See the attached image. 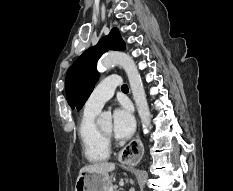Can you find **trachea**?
Wrapping results in <instances>:
<instances>
[{
    "instance_id": "1",
    "label": "trachea",
    "mask_w": 233,
    "mask_h": 191,
    "mask_svg": "<svg viewBox=\"0 0 233 191\" xmlns=\"http://www.w3.org/2000/svg\"><path fill=\"white\" fill-rule=\"evenodd\" d=\"M121 89L123 92H126V91H128V86L124 84V85H122Z\"/></svg>"
}]
</instances>
